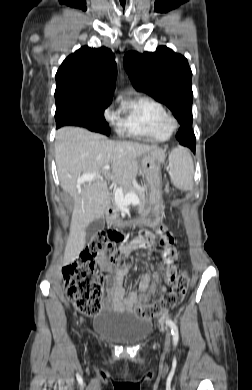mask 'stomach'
Segmentation results:
<instances>
[{"mask_svg": "<svg viewBox=\"0 0 252 390\" xmlns=\"http://www.w3.org/2000/svg\"><path fill=\"white\" fill-rule=\"evenodd\" d=\"M164 160L165 154L160 150L150 151L140 160V172L145 176L151 190L138 219L140 225L154 227L161 221V165Z\"/></svg>", "mask_w": 252, "mask_h": 390, "instance_id": "1", "label": "stomach"}]
</instances>
